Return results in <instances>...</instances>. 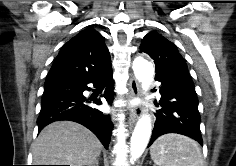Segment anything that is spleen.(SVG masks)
Segmentation results:
<instances>
[{"label": "spleen", "instance_id": "3e777b00", "mask_svg": "<svg viewBox=\"0 0 236 166\" xmlns=\"http://www.w3.org/2000/svg\"><path fill=\"white\" fill-rule=\"evenodd\" d=\"M150 154L158 166H203L198 144L183 135L166 134L159 137L151 146Z\"/></svg>", "mask_w": 236, "mask_h": 166}]
</instances>
